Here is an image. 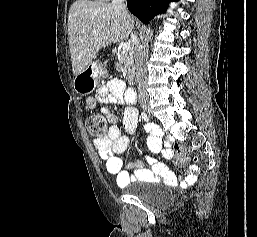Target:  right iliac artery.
Returning a JSON list of instances; mask_svg holds the SVG:
<instances>
[{"label": "right iliac artery", "mask_w": 257, "mask_h": 237, "mask_svg": "<svg viewBox=\"0 0 257 237\" xmlns=\"http://www.w3.org/2000/svg\"><path fill=\"white\" fill-rule=\"evenodd\" d=\"M141 116H142V119H143L144 121H146V122L149 121V117L147 116L146 112H142V113H141Z\"/></svg>", "instance_id": "1"}]
</instances>
